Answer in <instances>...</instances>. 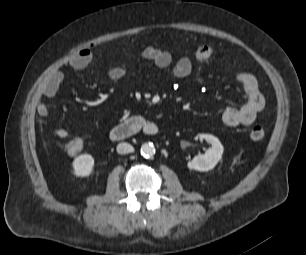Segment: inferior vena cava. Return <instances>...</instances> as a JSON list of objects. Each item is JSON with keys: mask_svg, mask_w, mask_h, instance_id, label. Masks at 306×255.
Returning <instances> with one entry per match:
<instances>
[{"mask_svg": "<svg viewBox=\"0 0 306 255\" xmlns=\"http://www.w3.org/2000/svg\"><path fill=\"white\" fill-rule=\"evenodd\" d=\"M133 151V147L132 145L128 144V143H119L117 145V152L119 154H127Z\"/></svg>", "mask_w": 306, "mask_h": 255, "instance_id": "1", "label": "inferior vena cava"}]
</instances>
